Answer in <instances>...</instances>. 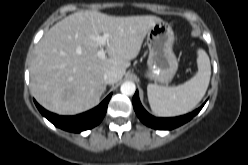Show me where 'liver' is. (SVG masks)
<instances>
[{"instance_id":"obj_1","label":"liver","mask_w":248,"mask_h":165,"mask_svg":"<svg viewBox=\"0 0 248 165\" xmlns=\"http://www.w3.org/2000/svg\"><path fill=\"white\" fill-rule=\"evenodd\" d=\"M156 16L115 17L98 11L73 13L52 26L35 47L30 64L31 93L45 109L75 115L95 107L106 90L104 74L120 81L137 57ZM108 33L103 46L108 57L97 55L93 39Z\"/></svg>"}]
</instances>
